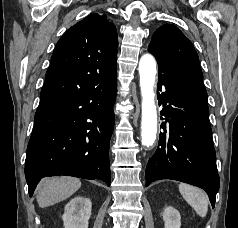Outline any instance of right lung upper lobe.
I'll use <instances>...</instances> for the list:
<instances>
[{"label": "right lung upper lobe", "instance_id": "1", "mask_svg": "<svg viewBox=\"0 0 238 228\" xmlns=\"http://www.w3.org/2000/svg\"><path fill=\"white\" fill-rule=\"evenodd\" d=\"M117 31L106 15L92 14L59 39L46 72L40 105L94 90L117 77Z\"/></svg>", "mask_w": 238, "mask_h": 228}]
</instances>
